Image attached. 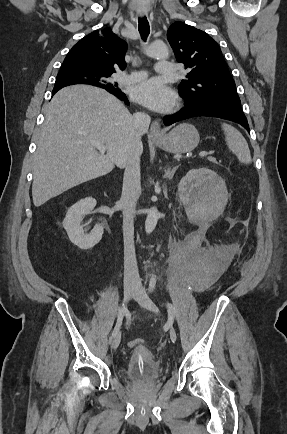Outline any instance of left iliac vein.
Returning a JSON list of instances; mask_svg holds the SVG:
<instances>
[{"label": "left iliac vein", "instance_id": "1", "mask_svg": "<svg viewBox=\"0 0 287 434\" xmlns=\"http://www.w3.org/2000/svg\"><path fill=\"white\" fill-rule=\"evenodd\" d=\"M134 299L144 308L158 313L159 310L155 303L151 300V298L147 295L145 289L142 287L140 283L137 284L135 291L133 293ZM169 336L172 342H176L177 334L175 329L172 326H169Z\"/></svg>", "mask_w": 287, "mask_h": 434}]
</instances>
